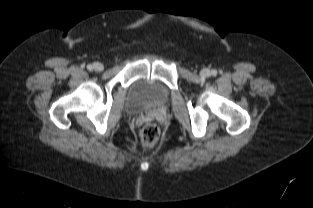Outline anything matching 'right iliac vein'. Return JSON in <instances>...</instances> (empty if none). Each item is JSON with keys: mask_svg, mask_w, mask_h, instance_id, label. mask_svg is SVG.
<instances>
[{"mask_svg": "<svg viewBox=\"0 0 313 208\" xmlns=\"http://www.w3.org/2000/svg\"><path fill=\"white\" fill-rule=\"evenodd\" d=\"M93 69H94L95 71H97V72H101V71H103L104 66H103V64H101V63H99V62H95V63L93 64Z\"/></svg>", "mask_w": 313, "mask_h": 208, "instance_id": "right-iliac-vein-1", "label": "right iliac vein"}]
</instances>
